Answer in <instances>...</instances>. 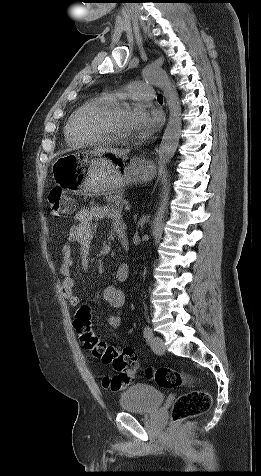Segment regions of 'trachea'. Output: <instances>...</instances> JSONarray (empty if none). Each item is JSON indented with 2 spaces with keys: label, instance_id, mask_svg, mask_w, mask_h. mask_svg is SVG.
Here are the masks:
<instances>
[{
  "label": "trachea",
  "instance_id": "1",
  "mask_svg": "<svg viewBox=\"0 0 261 476\" xmlns=\"http://www.w3.org/2000/svg\"><path fill=\"white\" fill-rule=\"evenodd\" d=\"M157 99H158V101H163V96H162V95H158V96H157Z\"/></svg>",
  "mask_w": 261,
  "mask_h": 476
}]
</instances>
